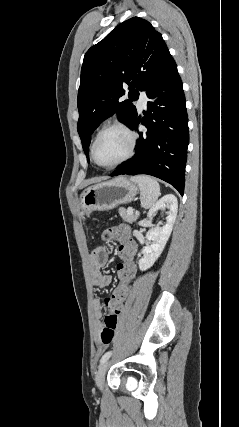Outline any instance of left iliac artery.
Here are the masks:
<instances>
[{
    "mask_svg": "<svg viewBox=\"0 0 239 427\" xmlns=\"http://www.w3.org/2000/svg\"><path fill=\"white\" fill-rule=\"evenodd\" d=\"M112 355V351H108V352H106L103 356H102V358H101V360H100V364H103L104 362H106L109 358H110V356Z\"/></svg>",
    "mask_w": 239,
    "mask_h": 427,
    "instance_id": "left-iliac-artery-1",
    "label": "left iliac artery"
}]
</instances>
